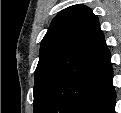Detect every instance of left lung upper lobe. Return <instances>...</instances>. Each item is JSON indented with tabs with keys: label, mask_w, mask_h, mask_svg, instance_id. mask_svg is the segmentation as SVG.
<instances>
[{
	"label": "left lung upper lobe",
	"mask_w": 121,
	"mask_h": 113,
	"mask_svg": "<svg viewBox=\"0 0 121 113\" xmlns=\"http://www.w3.org/2000/svg\"><path fill=\"white\" fill-rule=\"evenodd\" d=\"M109 63L110 52L90 8L74 5L61 11L41 42L34 112L70 113Z\"/></svg>",
	"instance_id": "1"
}]
</instances>
